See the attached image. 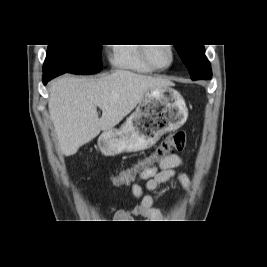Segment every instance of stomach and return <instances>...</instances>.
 Here are the masks:
<instances>
[{
	"instance_id": "obj_1",
	"label": "stomach",
	"mask_w": 267,
	"mask_h": 267,
	"mask_svg": "<svg viewBox=\"0 0 267 267\" xmlns=\"http://www.w3.org/2000/svg\"><path fill=\"white\" fill-rule=\"evenodd\" d=\"M188 109L183 97L169 86L149 90L119 129L104 131L98 146L106 156L137 152L153 146L163 134L181 127Z\"/></svg>"
}]
</instances>
